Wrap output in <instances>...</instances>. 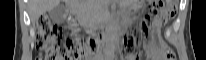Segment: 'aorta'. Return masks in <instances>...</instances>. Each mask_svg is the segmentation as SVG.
<instances>
[{
	"label": "aorta",
	"instance_id": "obj_1",
	"mask_svg": "<svg viewBox=\"0 0 206 60\" xmlns=\"http://www.w3.org/2000/svg\"><path fill=\"white\" fill-rule=\"evenodd\" d=\"M106 40H107V48H111L112 40H113V30L111 24H108L106 27Z\"/></svg>",
	"mask_w": 206,
	"mask_h": 60
}]
</instances>
